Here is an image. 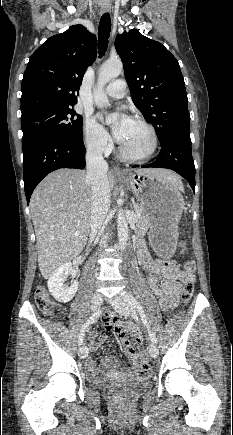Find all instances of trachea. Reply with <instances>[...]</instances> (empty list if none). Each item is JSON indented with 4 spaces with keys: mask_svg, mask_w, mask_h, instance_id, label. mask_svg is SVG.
Here are the masks:
<instances>
[{
    "mask_svg": "<svg viewBox=\"0 0 233 435\" xmlns=\"http://www.w3.org/2000/svg\"><path fill=\"white\" fill-rule=\"evenodd\" d=\"M111 31V19L108 13L102 15L98 27V53L99 57L105 55L108 47V39Z\"/></svg>",
    "mask_w": 233,
    "mask_h": 435,
    "instance_id": "3493384b",
    "label": "trachea"
}]
</instances>
